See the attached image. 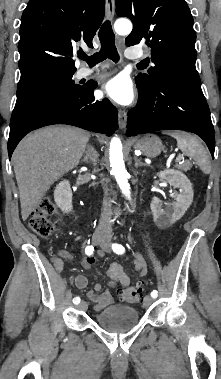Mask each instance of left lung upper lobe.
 Returning <instances> with one entry per match:
<instances>
[{"label":"left lung upper lobe","mask_w":221,"mask_h":379,"mask_svg":"<svg viewBox=\"0 0 221 379\" xmlns=\"http://www.w3.org/2000/svg\"><path fill=\"white\" fill-rule=\"evenodd\" d=\"M119 17H128L133 30L125 39L131 46L145 41L155 64L149 74L140 73L135 81L148 85L156 77L201 85L195 67L196 34L185 0H115Z\"/></svg>","instance_id":"5c2ea615"}]
</instances>
